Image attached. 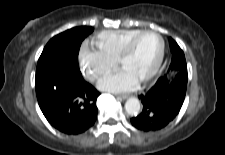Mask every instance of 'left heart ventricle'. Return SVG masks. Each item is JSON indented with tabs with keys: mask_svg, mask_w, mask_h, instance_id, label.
<instances>
[{
	"mask_svg": "<svg viewBox=\"0 0 225 155\" xmlns=\"http://www.w3.org/2000/svg\"><path fill=\"white\" fill-rule=\"evenodd\" d=\"M160 52V41L153 34L142 36L132 52L123 60L121 66L132 72L140 81L155 66Z\"/></svg>",
	"mask_w": 225,
	"mask_h": 155,
	"instance_id": "left-heart-ventricle-1",
	"label": "left heart ventricle"
}]
</instances>
